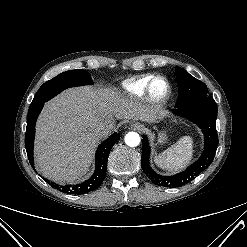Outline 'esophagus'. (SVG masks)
<instances>
[{
    "label": "esophagus",
    "mask_w": 247,
    "mask_h": 247,
    "mask_svg": "<svg viewBox=\"0 0 247 247\" xmlns=\"http://www.w3.org/2000/svg\"><path fill=\"white\" fill-rule=\"evenodd\" d=\"M131 128L133 129V130H136V131H142L143 129H144V126L142 125V124H140V123H138V122H136V123H133L132 125H131Z\"/></svg>",
    "instance_id": "esophagus-1"
}]
</instances>
